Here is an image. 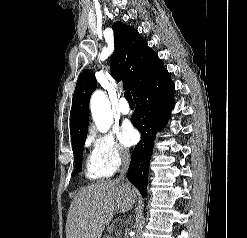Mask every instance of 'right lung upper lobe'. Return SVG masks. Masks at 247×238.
I'll list each match as a JSON object with an SVG mask.
<instances>
[{
  "instance_id": "obj_1",
  "label": "right lung upper lobe",
  "mask_w": 247,
  "mask_h": 238,
  "mask_svg": "<svg viewBox=\"0 0 247 238\" xmlns=\"http://www.w3.org/2000/svg\"><path fill=\"white\" fill-rule=\"evenodd\" d=\"M113 31L115 51L110 58L112 75L116 80H122L124 88L131 90L135 97L165 68L158 55L133 27L115 22ZM96 87L93 71H83L76 84L70 113L72 144L87 135L89 100Z\"/></svg>"
}]
</instances>
